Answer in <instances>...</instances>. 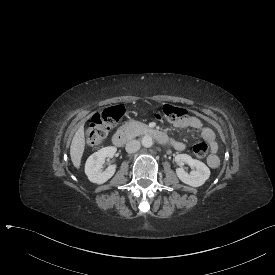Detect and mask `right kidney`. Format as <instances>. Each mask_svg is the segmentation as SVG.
Masks as SVG:
<instances>
[{
	"mask_svg": "<svg viewBox=\"0 0 275 275\" xmlns=\"http://www.w3.org/2000/svg\"><path fill=\"white\" fill-rule=\"evenodd\" d=\"M116 151V147L109 146L104 147L89 156L85 164V174L91 182L103 184L114 175L116 165L108 166L105 171H102V165L105 162V158H112Z\"/></svg>",
	"mask_w": 275,
	"mask_h": 275,
	"instance_id": "right-kidney-1",
	"label": "right kidney"
}]
</instances>
